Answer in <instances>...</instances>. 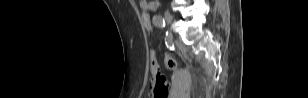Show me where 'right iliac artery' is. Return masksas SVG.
<instances>
[{"mask_svg":"<svg viewBox=\"0 0 308 98\" xmlns=\"http://www.w3.org/2000/svg\"><path fill=\"white\" fill-rule=\"evenodd\" d=\"M153 23L159 28L165 27V20L160 15H155L153 17Z\"/></svg>","mask_w":308,"mask_h":98,"instance_id":"right-iliac-artery-1","label":"right iliac artery"}]
</instances>
